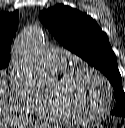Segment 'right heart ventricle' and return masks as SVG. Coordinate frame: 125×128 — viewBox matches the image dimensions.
<instances>
[{
  "instance_id": "1",
  "label": "right heart ventricle",
  "mask_w": 125,
  "mask_h": 128,
  "mask_svg": "<svg viewBox=\"0 0 125 128\" xmlns=\"http://www.w3.org/2000/svg\"><path fill=\"white\" fill-rule=\"evenodd\" d=\"M55 73L62 74L65 67L52 68ZM32 114L39 120L59 123V124H71L75 123L68 116H66L57 106L52 92H42L39 95L36 105L32 110Z\"/></svg>"
}]
</instances>
